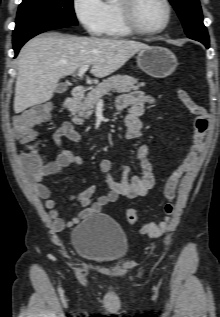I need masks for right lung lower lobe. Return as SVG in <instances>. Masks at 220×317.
I'll use <instances>...</instances> for the list:
<instances>
[{
    "mask_svg": "<svg viewBox=\"0 0 220 317\" xmlns=\"http://www.w3.org/2000/svg\"><path fill=\"white\" fill-rule=\"evenodd\" d=\"M70 25L67 24H61V23H49V24H43L39 26L32 27L22 34H20L17 37H13V45L15 50V55L18 54L19 49L22 47V45L28 41L30 38L34 37L35 35L42 33L44 31L52 30V29H58V28H64L68 27Z\"/></svg>",
    "mask_w": 220,
    "mask_h": 317,
    "instance_id": "right-lung-lower-lobe-1",
    "label": "right lung lower lobe"
}]
</instances>
